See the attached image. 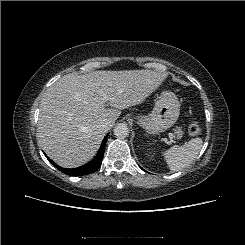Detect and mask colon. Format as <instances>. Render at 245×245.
<instances>
[{
	"label": "colon",
	"instance_id": "obj_1",
	"mask_svg": "<svg viewBox=\"0 0 245 245\" xmlns=\"http://www.w3.org/2000/svg\"><path fill=\"white\" fill-rule=\"evenodd\" d=\"M201 132L200 124L196 120H192L188 127V134L190 136H197Z\"/></svg>",
	"mask_w": 245,
	"mask_h": 245
}]
</instances>
